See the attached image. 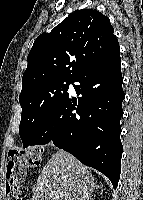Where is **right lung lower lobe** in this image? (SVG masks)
<instances>
[{
	"mask_svg": "<svg viewBox=\"0 0 143 200\" xmlns=\"http://www.w3.org/2000/svg\"><path fill=\"white\" fill-rule=\"evenodd\" d=\"M72 82L79 83L73 86L82 96L77 100L67 95L29 146L53 142L102 172L116 188L121 172L120 119L125 98L120 48L83 69Z\"/></svg>",
	"mask_w": 143,
	"mask_h": 200,
	"instance_id": "obj_1",
	"label": "right lung lower lobe"
}]
</instances>
